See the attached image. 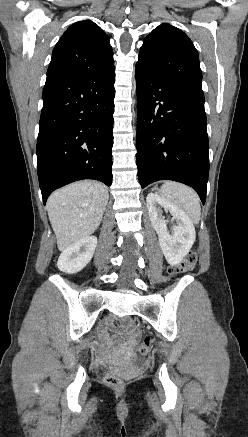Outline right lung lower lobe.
Listing matches in <instances>:
<instances>
[{"instance_id": "1", "label": "right lung lower lobe", "mask_w": 248, "mask_h": 437, "mask_svg": "<svg viewBox=\"0 0 248 437\" xmlns=\"http://www.w3.org/2000/svg\"><path fill=\"white\" fill-rule=\"evenodd\" d=\"M114 82V65L46 79L36 148L44 205L55 189L77 180L111 185Z\"/></svg>"}]
</instances>
